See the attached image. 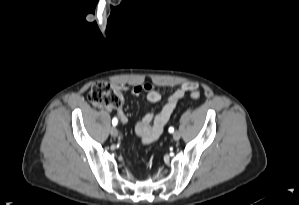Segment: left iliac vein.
<instances>
[{
	"label": "left iliac vein",
	"mask_w": 299,
	"mask_h": 205,
	"mask_svg": "<svg viewBox=\"0 0 299 205\" xmlns=\"http://www.w3.org/2000/svg\"><path fill=\"white\" fill-rule=\"evenodd\" d=\"M180 137H181V133H180L179 131H175V132L173 133V139H174L175 141H178V140L180 139Z\"/></svg>",
	"instance_id": "4c4485c4"
}]
</instances>
